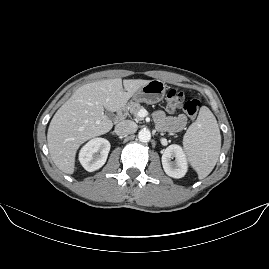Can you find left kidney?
I'll return each mask as SVG.
<instances>
[{
    "mask_svg": "<svg viewBox=\"0 0 269 269\" xmlns=\"http://www.w3.org/2000/svg\"><path fill=\"white\" fill-rule=\"evenodd\" d=\"M172 158H175V160L172 161ZM162 165L168 176L173 178L184 177L188 166L181 146L176 144L168 146L162 155Z\"/></svg>",
    "mask_w": 269,
    "mask_h": 269,
    "instance_id": "1",
    "label": "left kidney"
}]
</instances>
